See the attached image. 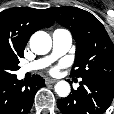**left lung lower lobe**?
Here are the masks:
<instances>
[{
    "label": "left lung lower lobe",
    "mask_w": 114,
    "mask_h": 114,
    "mask_svg": "<svg viewBox=\"0 0 114 114\" xmlns=\"http://www.w3.org/2000/svg\"><path fill=\"white\" fill-rule=\"evenodd\" d=\"M114 97V83L91 77L82 78L77 90L57 100L63 114H103Z\"/></svg>",
    "instance_id": "1"
}]
</instances>
